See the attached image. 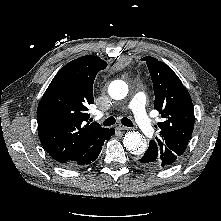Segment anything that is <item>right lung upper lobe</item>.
<instances>
[{
	"instance_id": "right-lung-upper-lobe-1",
	"label": "right lung upper lobe",
	"mask_w": 221,
	"mask_h": 221,
	"mask_svg": "<svg viewBox=\"0 0 221 221\" xmlns=\"http://www.w3.org/2000/svg\"><path fill=\"white\" fill-rule=\"evenodd\" d=\"M107 63L97 56L79 57L62 67L37 108L39 139L49 155L65 164L80 158L106 128L90 123L88 105L94 103L93 83Z\"/></svg>"
}]
</instances>
